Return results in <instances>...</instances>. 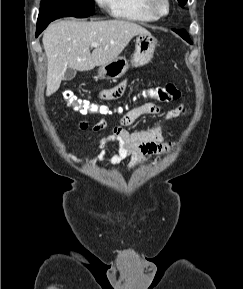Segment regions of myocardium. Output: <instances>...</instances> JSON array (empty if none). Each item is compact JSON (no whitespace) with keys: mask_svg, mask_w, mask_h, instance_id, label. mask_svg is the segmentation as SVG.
Wrapping results in <instances>:
<instances>
[{"mask_svg":"<svg viewBox=\"0 0 243 289\" xmlns=\"http://www.w3.org/2000/svg\"><path fill=\"white\" fill-rule=\"evenodd\" d=\"M143 1H144L145 9L148 11V13H150L155 18L165 17L169 14L171 10L170 0H162L166 7L165 11L163 12L158 10V7H157L158 0H143Z\"/></svg>","mask_w":243,"mask_h":289,"instance_id":"1","label":"myocardium"}]
</instances>
